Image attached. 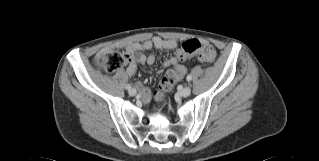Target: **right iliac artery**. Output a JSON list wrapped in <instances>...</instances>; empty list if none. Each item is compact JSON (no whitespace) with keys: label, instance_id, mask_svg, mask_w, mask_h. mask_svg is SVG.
Listing matches in <instances>:
<instances>
[{"label":"right iliac artery","instance_id":"1","mask_svg":"<svg viewBox=\"0 0 319 161\" xmlns=\"http://www.w3.org/2000/svg\"><path fill=\"white\" fill-rule=\"evenodd\" d=\"M126 89L130 90L131 89V85H127Z\"/></svg>","mask_w":319,"mask_h":161}]
</instances>
